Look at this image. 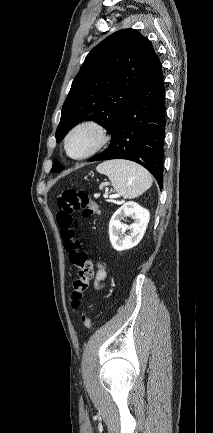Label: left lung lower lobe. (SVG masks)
I'll return each mask as SVG.
<instances>
[{
    "label": "left lung lower lobe",
    "instance_id": "left-lung-lower-lobe-1",
    "mask_svg": "<svg viewBox=\"0 0 213 433\" xmlns=\"http://www.w3.org/2000/svg\"><path fill=\"white\" fill-rule=\"evenodd\" d=\"M164 134V83L158 58L112 128L109 147L88 162L134 161L149 170L162 189Z\"/></svg>",
    "mask_w": 213,
    "mask_h": 433
}]
</instances>
